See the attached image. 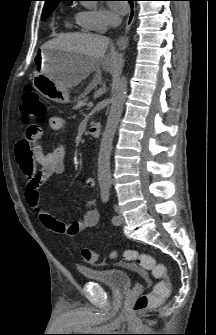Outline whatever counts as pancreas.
<instances>
[{
	"label": "pancreas",
	"instance_id": "cf45deb5",
	"mask_svg": "<svg viewBox=\"0 0 216 335\" xmlns=\"http://www.w3.org/2000/svg\"><path fill=\"white\" fill-rule=\"evenodd\" d=\"M87 91H85L84 93H82L77 100V104L74 106V109H80L82 106L86 105L87 103Z\"/></svg>",
	"mask_w": 216,
	"mask_h": 335
}]
</instances>
